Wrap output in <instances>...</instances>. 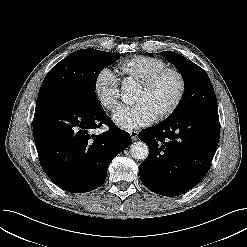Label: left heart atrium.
<instances>
[{
  "mask_svg": "<svg viewBox=\"0 0 247 247\" xmlns=\"http://www.w3.org/2000/svg\"><path fill=\"white\" fill-rule=\"evenodd\" d=\"M157 114L145 102H138L132 106L118 107L112 118L123 129H136L147 126L157 119Z\"/></svg>",
  "mask_w": 247,
  "mask_h": 247,
  "instance_id": "left-heart-atrium-1",
  "label": "left heart atrium"
}]
</instances>
